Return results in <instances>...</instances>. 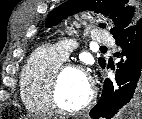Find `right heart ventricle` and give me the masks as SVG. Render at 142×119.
Listing matches in <instances>:
<instances>
[{
	"instance_id": "right-heart-ventricle-1",
	"label": "right heart ventricle",
	"mask_w": 142,
	"mask_h": 119,
	"mask_svg": "<svg viewBox=\"0 0 142 119\" xmlns=\"http://www.w3.org/2000/svg\"><path fill=\"white\" fill-rule=\"evenodd\" d=\"M51 46L36 49L24 65L20 78V94L24 106L38 114L52 112L48 100L50 80L63 63Z\"/></svg>"
}]
</instances>
